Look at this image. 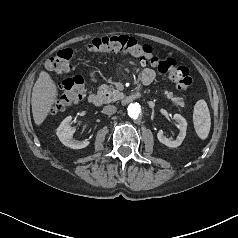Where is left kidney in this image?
<instances>
[{"label": "left kidney", "instance_id": "obj_1", "mask_svg": "<svg viewBox=\"0 0 238 238\" xmlns=\"http://www.w3.org/2000/svg\"><path fill=\"white\" fill-rule=\"evenodd\" d=\"M173 119L177 123V126L179 128V134L175 140L168 139L164 135L163 130H159L157 133L158 140L170 148H176L181 145L186 136V129H187V122L183 116H181L180 114H174Z\"/></svg>", "mask_w": 238, "mask_h": 238}]
</instances>
